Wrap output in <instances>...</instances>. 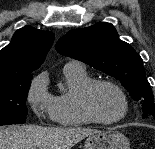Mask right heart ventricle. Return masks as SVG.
Wrapping results in <instances>:
<instances>
[{
    "mask_svg": "<svg viewBox=\"0 0 155 149\" xmlns=\"http://www.w3.org/2000/svg\"><path fill=\"white\" fill-rule=\"evenodd\" d=\"M68 90L54 96L53 120L62 127H79L91 123L80 106L83 87L93 80L82 66H65L63 69Z\"/></svg>",
    "mask_w": 155,
    "mask_h": 149,
    "instance_id": "e07e8e85",
    "label": "right heart ventricle"
}]
</instances>
